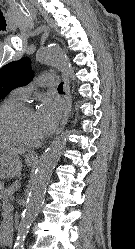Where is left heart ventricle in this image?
Listing matches in <instances>:
<instances>
[{
    "mask_svg": "<svg viewBox=\"0 0 135 249\" xmlns=\"http://www.w3.org/2000/svg\"><path fill=\"white\" fill-rule=\"evenodd\" d=\"M15 127L18 133L26 140L34 141L42 136L34 111H27L18 116L15 120Z\"/></svg>",
    "mask_w": 135,
    "mask_h": 249,
    "instance_id": "obj_1",
    "label": "left heart ventricle"
}]
</instances>
